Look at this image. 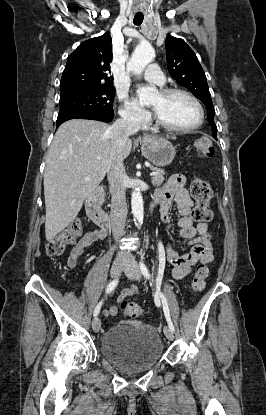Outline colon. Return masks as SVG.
Returning a JSON list of instances; mask_svg holds the SVG:
<instances>
[{
  "instance_id": "obj_1",
  "label": "colon",
  "mask_w": 266,
  "mask_h": 415,
  "mask_svg": "<svg viewBox=\"0 0 266 415\" xmlns=\"http://www.w3.org/2000/svg\"><path fill=\"white\" fill-rule=\"evenodd\" d=\"M195 151L199 156L209 157L214 153L212 140L209 137H202L195 142ZM191 195L196 202L192 210V218L200 223H206L212 220L213 214L208 204L212 198V189L210 184L202 179L195 178L191 186ZM82 233V221L79 218L72 220L56 237L46 245L48 256L61 255L68 245L74 244ZM208 268L199 266L192 279L190 289L192 293H200L205 287V281L208 276ZM122 309L125 315L129 317H138L142 315L143 309L134 302L123 301Z\"/></svg>"
}]
</instances>
